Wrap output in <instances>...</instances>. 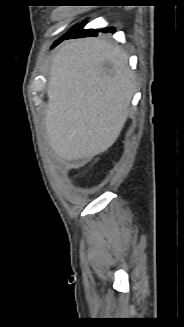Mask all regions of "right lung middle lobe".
<instances>
[{
  "label": "right lung middle lobe",
  "mask_w": 184,
  "mask_h": 327,
  "mask_svg": "<svg viewBox=\"0 0 184 327\" xmlns=\"http://www.w3.org/2000/svg\"><path fill=\"white\" fill-rule=\"evenodd\" d=\"M75 27H76V26H75ZM75 27H73L70 31H72ZM70 31H69V32H70ZM69 32H68V33H69Z\"/></svg>",
  "instance_id": "1"
}]
</instances>
